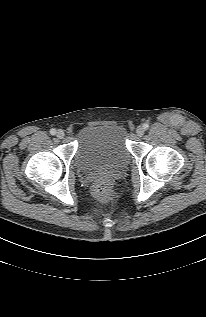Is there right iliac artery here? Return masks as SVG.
<instances>
[{
	"label": "right iliac artery",
	"mask_w": 206,
	"mask_h": 317,
	"mask_svg": "<svg viewBox=\"0 0 206 317\" xmlns=\"http://www.w3.org/2000/svg\"><path fill=\"white\" fill-rule=\"evenodd\" d=\"M50 134H51V135H55V134H56V130H55V129H51V130H50Z\"/></svg>",
	"instance_id": "obj_1"
}]
</instances>
